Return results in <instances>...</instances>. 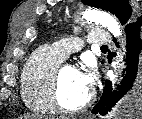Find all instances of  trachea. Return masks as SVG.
Listing matches in <instances>:
<instances>
[{
  "label": "trachea",
  "mask_w": 142,
  "mask_h": 119,
  "mask_svg": "<svg viewBox=\"0 0 142 119\" xmlns=\"http://www.w3.org/2000/svg\"><path fill=\"white\" fill-rule=\"evenodd\" d=\"M101 49H108V46L107 45H103V46H101Z\"/></svg>",
  "instance_id": "obj_1"
}]
</instances>
